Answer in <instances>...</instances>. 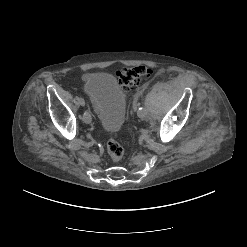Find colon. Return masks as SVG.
Wrapping results in <instances>:
<instances>
[{
	"label": "colon",
	"mask_w": 247,
	"mask_h": 247,
	"mask_svg": "<svg viewBox=\"0 0 247 247\" xmlns=\"http://www.w3.org/2000/svg\"><path fill=\"white\" fill-rule=\"evenodd\" d=\"M153 71L143 65L124 68L118 71L117 79L124 89L130 90L138 86L141 82L151 78ZM107 152L112 162L117 163L123 157V148L116 136H112L107 142Z\"/></svg>",
	"instance_id": "1"
}]
</instances>
